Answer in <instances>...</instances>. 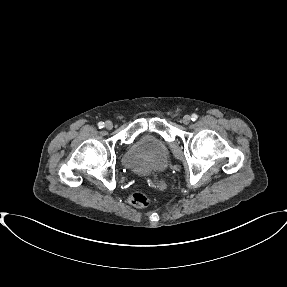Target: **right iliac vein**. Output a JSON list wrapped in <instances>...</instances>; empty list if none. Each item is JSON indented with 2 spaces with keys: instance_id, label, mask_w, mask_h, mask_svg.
Returning a JSON list of instances; mask_svg holds the SVG:
<instances>
[{
  "instance_id": "63e3f726",
  "label": "right iliac vein",
  "mask_w": 287,
  "mask_h": 287,
  "mask_svg": "<svg viewBox=\"0 0 287 287\" xmlns=\"http://www.w3.org/2000/svg\"><path fill=\"white\" fill-rule=\"evenodd\" d=\"M105 128L108 130H111L113 128V124L111 121H106L105 122Z\"/></svg>"
}]
</instances>
